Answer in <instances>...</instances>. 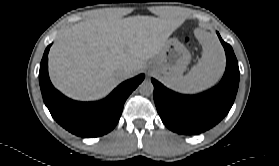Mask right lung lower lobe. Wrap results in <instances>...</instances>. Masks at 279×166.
Segmentation results:
<instances>
[{"label":"right lung lower lobe","mask_w":279,"mask_h":166,"mask_svg":"<svg viewBox=\"0 0 279 166\" xmlns=\"http://www.w3.org/2000/svg\"><path fill=\"white\" fill-rule=\"evenodd\" d=\"M50 46L46 48L41 60L39 83L44 103L52 117L63 128L80 137H98L110 132L119 121L126 99L144 80V74L123 82L101 101H73L56 90L49 80Z\"/></svg>","instance_id":"98d812e1"}]
</instances>
